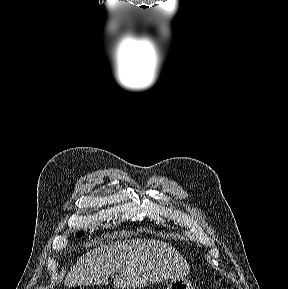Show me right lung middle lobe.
<instances>
[{
  "label": "right lung middle lobe",
  "mask_w": 288,
  "mask_h": 289,
  "mask_svg": "<svg viewBox=\"0 0 288 289\" xmlns=\"http://www.w3.org/2000/svg\"><path fill=\"white\" fill-rule=\"evenodd\" d=\"M81 235H83V233H82V232L78 233V236H81Z\"/></svg>",
  "instance_id": "dd1d6c3e"
}]
</instances>
